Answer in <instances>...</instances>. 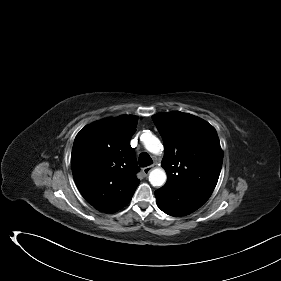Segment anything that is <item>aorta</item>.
Instances as JSON below:
<instances>
[{"instance_id":"1","label":"aorta","mask_w":281,"mask_h":281,"mask_svg":"<svg viewBox=\"0 0 281 281\" xmlns=\"http://www.w3.org/2000/svg\"><path fill=\"white\" fill-rule=\"evenodd\" d=\"M145 148L153 153L159 154L162 150V144L160 140L153 134H143L141 137ZM167 179L166 172L162 168H155L149 174V182L152 186L161 187L165 184Z\"/></svg>"}]
</instances>
